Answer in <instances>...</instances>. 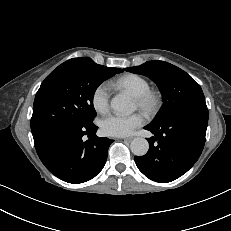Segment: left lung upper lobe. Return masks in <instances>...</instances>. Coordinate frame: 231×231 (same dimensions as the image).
<instances>
[{"label":"left lung upper lobe","instance_id":"obj_1","mask_svg":"<svg viewBox=\"0 0 231 231\" xmlns=\"http://www.w3.org/2000/svg\"><path fill=\"white\" fill-rule=\"evenodd\" d=\"M125 71L149 77L160 89L163 106L150 124H159L193 107H207L200 85L185 71L164 61H148Z\"/></svg>","mask_w":231,"mask_h":231}]
</instances>
